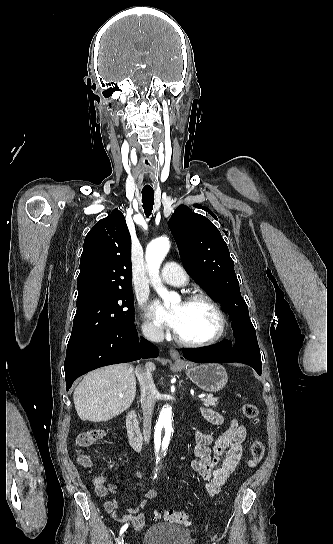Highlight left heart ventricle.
I'll return each instance as SVG.
<instances>
[{
	"label": "left heart ventricle",
	"mask_w": 333,
	"mask_h": 544,
	"mask_svg": "<svg viewBox=\"0 0 333 544\" xmlns=\"http://www.w3.org/2000/svg\"><path fill=\"white\" fill-rule=\"evenodd\" d=\"M181 318L176 332L190 341H203L211 338L217 331L219 321L214 309L206 302L182 303Z\"/></svg>",
	"instance_id": "obj_1"
}]
</instances>
